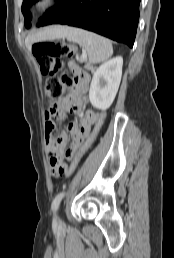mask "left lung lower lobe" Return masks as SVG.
Returning a JSON list of instances; mask_svg holds the SVG:
<instances>
[{
    "label": "left lung lower lobe",
    "instance_id": "obj_1",
    "mask_svg": "<svg viewBox=\"0 0 174 258\" xmlns=\"http://www.w3.org/2000/svg\"><path fill=\"white\" fill-rule=\"evenodd\" d=\"M141 0H64L42 26L64 24L133 47Z\"/></svg>",
    "mask_w": 174,
    "mask_h": 258
}]
</instances>
